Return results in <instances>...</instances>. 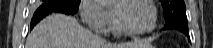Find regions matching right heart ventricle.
Listing matches in <instances>:
<instances>
[{"label": "right heart ventricle", "mask_w": 213, "mask_h": 48, "mask_svg": "<svg viewBox=\"0 0 213 48\" xmlns=\"http://www.w3.org/2000/svg\"><path fill=\"white\" fill-rule=\"evenodd\" d=\"M109 31L115 35V36H122L124 35L123 31L120 29L115 16H114V21L112 22V24L110 25Z\"/></svg>", "instance_id": "1"}]
</instances>
